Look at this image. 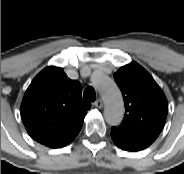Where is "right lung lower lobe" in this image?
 I'll use <instances>...</instances> for the list:
<instances>
[{
  "instance_id": "98d812e1",
  "label": "right lung lower lobe",
  "mask_w": 184,
  "mask_h": 174,
  "mask_svg": "<svg viewBox=\"0 0 184 174\" xmlns=\"http://www.w3.org/2000/svg\"><path fill=\"white\" fill-rule=\"evenodd\" d=\"M78 135V134H77ZM76 135V136H77ZM76 136H74L72 139H70L67 143H65V144H63L62 146H60V147H63V146H66L67 144H69L70 142H72V140L76 137ZM59 148V147H58Z\"/></svg>"
}]
</instances>
